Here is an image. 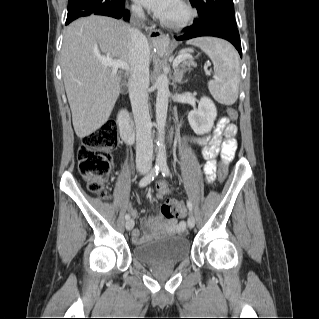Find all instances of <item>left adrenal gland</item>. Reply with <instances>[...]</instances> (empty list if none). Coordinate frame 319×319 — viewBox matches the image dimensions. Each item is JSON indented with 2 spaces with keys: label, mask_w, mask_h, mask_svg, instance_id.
Masks as SVG:
<instances>
[{
  "label": "left adrenal gland",
  "mask_w": 319,
  "mask_h": 319,
  "mask_svg": "<svg viewBox=\"0 0 319 319\" xmlns=\"http://www.w3.org/2000/svg\"><path fill=\"white\" fill-rule=\"evenodd\" d=\"M184 73L185 71L184 70H179V68H175L174 69V82L175 83H182V79L184 77Z\"/></svg>",
  "instance_id": "1"
}]
</instances>
